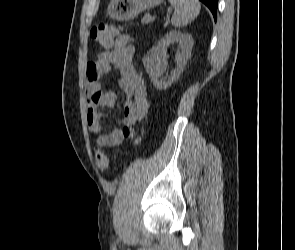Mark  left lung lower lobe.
Returning a JSON list of instances; mask_svg holds the SVG:
<instances>
[{
  "label": "left lung lower lobe",
  "instance_id": "0a47b994",
  "mask_svg": "<svg viewBox=\"0 0 295 250\" xmlns=\"http://www.w3.org/2000/svg\"><path fill=\"white\" fill-rule=\"evenodd\" d=\"M200 1L204 3L210 9L214 18L216 19L218 0H200Z\"/></svg>",
  "mask_w": 295,
  "mask_h": 250
}]
</instances>
